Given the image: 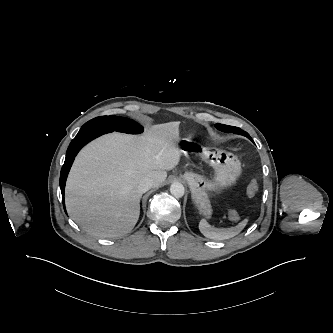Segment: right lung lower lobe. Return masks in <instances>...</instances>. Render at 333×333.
I'll use <instances>...</instances> for the list:
<instances>
[{
    "instance_id": "98d812e1",
    "label": "right lung lower lobe",
    "mask_w": 333,
    "mask_h": 333,
    "mask_svg": "<svg viewBox=\"0 0 333 333\" xmlns=\"http://www.w3.org/2000/svg\"><path fill=\"white\" fill-rule=\"evenodd\" d=\"M108 132H112V130L107 128L80 130L76 135V137L71 141L67 149L65 162L61 169V174H60V188L62 192L63 201H64V188H65L66 178L75 156L77 155L79 150L89 141Z\"/></svg>"
}]
</instances>
